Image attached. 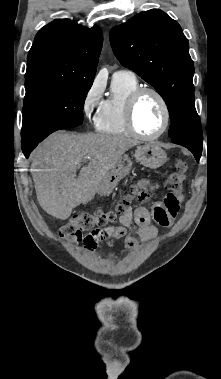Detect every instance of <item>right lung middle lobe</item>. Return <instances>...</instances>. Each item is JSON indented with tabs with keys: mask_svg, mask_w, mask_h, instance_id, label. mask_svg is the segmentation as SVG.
<instances>
[{
	"mask_svg": "<svg viewBox=\"0 0 221 379\" xmlns=\"http://www.w3.org/2000/svg\"><path fill=\"white\" fill-rule=\"evenodd\" d=\"M93 81H78L26 93L23 106V140H38L83 122V107Z\"/></svg>",
	"mask_w": 221,
	"mask_h": 379,
	"instance_id": "1",
	"label": "right lung middle lobe"
}]
</instances>
